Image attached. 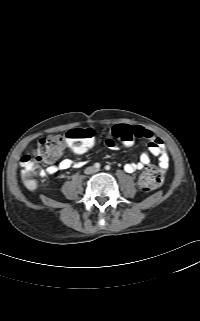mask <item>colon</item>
<instances>
[{
  "instance_id": "obj_1",
  "label": "colon",
  "mask_w": 200,
  "mask_h": 321,
  "mask_svg": "<svg viewBox=\"0 0 200 321\" xmlns=\"http://www.w3.org/2000/svg\"><path fill=\"white\" fill-rule=\"evenodd\" d=\"M111 133L114 139L127 146L139 138L138 131L129 125H116ZM93 142L94 133L90 128L71 129L64 135H49L41 138L35 150L24 155L20 160L26 187L30 190L35 188V175L40 165L55 158L66 145L78 154H82L93 145ZM162 181V171L156 166H149L140 175L138 185L142 191L150 192L159 187Z\"/></svg>"
}]
</instances>
